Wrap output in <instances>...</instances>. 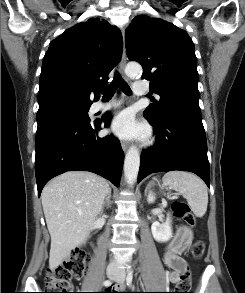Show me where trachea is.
<instances>
[{
	"instance_id": "3493384b",
	"label": "trachea",
	"mask_w": 245,
	"mask_h": 293,
	"mask_svg": "<svg viewBox=\"0 0 245 293\" xmlns=\"http://www.w3.org/2000/svg\"><path fill=\"white\" fill-rule=\"evenodd\" d=\"M118 86H120V89L124 94L128 96L132 94L129 85L125 81H123L122 77L118 72L115 73L114 80L112 81V83L103 88H99V91L101 94H103V98L110 99L115 94V91L118 88Z\"/></svg>"
}]
</instances>
